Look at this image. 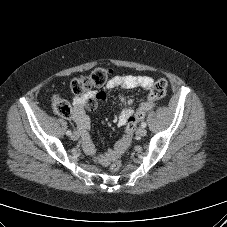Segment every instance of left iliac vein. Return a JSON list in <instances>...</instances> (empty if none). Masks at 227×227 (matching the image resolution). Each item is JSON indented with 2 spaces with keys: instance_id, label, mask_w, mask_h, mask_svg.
Listing matches in <instances>:
<instances>
[{
  "instance_id": "obj_1",
  "label": "left iliac vein",
  "mask_w": 227,
  "mask_h": 227,
  "mask_svg": "<svg viewBox=\"0 0 227 227\" xmlns=\"http://www.w3.org/2000/svg\"><path fill=\"white\" fill-rule=\"evenodd\" d=\"M137 135L138 136H145L146 134H147V131H146V129H144V128H142V127H140L138 130H137Z\"/></svg>"
}]
</instances>
